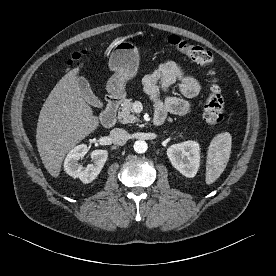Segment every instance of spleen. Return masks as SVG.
I'll return each instance as SVG.
<instances>
[{
	"label": "spleen",
	"mask_w": 276,
	"mask_h": 276,
	"mask_svg": "<svg viewBox=\"0 0 276 276\" xmlns=\"http://www.w3.org/2000/svg\"><path fill=\"white\" fill-rule=\"evenodd\" d=\"M230 133H220L213 138L207 151L206 184L215 182L225 170L231 154Z\"/></svg>",
	"instance_id": "1"
}]
</instances>
